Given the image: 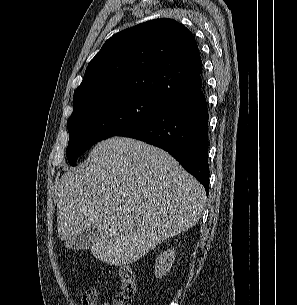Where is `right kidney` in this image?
<instances>
[{"label":"right kidney","mask_w":297,"mask_h":305,"mask_svg":"<svg viewBox=\"0 0 297 305\" xmlns=\"http://www.w3.org/2000/svg\"><path fill=\"white\" fill-rule=\"evenodd\" d=\"M175 250L168 249L164 252H161L160 255L156 258L155 263V271L154 274L156 277H161L167 273V271L170 270L174 260H175Z\"/></svg>","instance_id":"1"}]
</instances>
